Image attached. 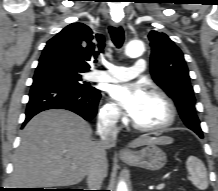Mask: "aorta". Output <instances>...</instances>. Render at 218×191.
Segmentation results:
<instances>
[{
	"mask_svg": "<svg viewBox=\"0 0 218 191\" xmlns=\"http://www.w3.org/2000/svg\"><path fill=\"white\" fill-rule=\"evenodd\" d=\"M144 50V44L140 40H132L125 46V54L130 58L141 56ZM116 191H128L126 183L124 181H120Z\"/></svg>",
	"mask_w": 218,
	"mask_h": 191,
	"instance_id": "1",
	"label": "aorta"
}]
</instances>
